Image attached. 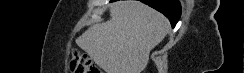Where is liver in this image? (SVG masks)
<instances>
[{
    "instance_id": "liver-1",
    "label": "liver",
    "mask_w": 244,
    "mask_h": 73,
    "mask_svg": "<svg viewBox=\"0 0 244 73\" xmlns=\"http://www.w3.org/2000/svg\"><path fill=\"white\" fill-rule=\"evenodd\" d=\"M110 16L89 27L76 39L77 45L106 73H141L150 51L168 33V19L135 0L114 3Z\"/></svg>"
}]
</instances>
